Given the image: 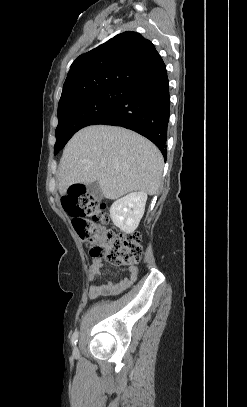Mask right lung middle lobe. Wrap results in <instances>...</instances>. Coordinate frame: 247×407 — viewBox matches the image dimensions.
<instances>
[{"label":"right lung middle lobe","mask_w":247,"mask_h":407,"mask_svg":"<svg viewBox=\"0 0 247 407\" xmlns=\"http://www.w3.org/2000/svg\"><path fill=\"white\" fill-rule=\"evenodd\" d=\"M133 88L125 86L110 87L58 107V126L56 128V155L80 129L93 125L99 118L110 112Z\"/></svg>","instance_id":"obj_1"}]
</instances>
